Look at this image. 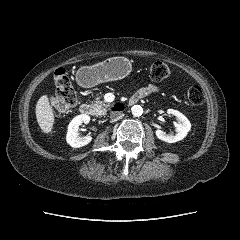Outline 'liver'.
I'll return each mask as SVG.
<instances>
[{"label": "liver", "mask_w": 240, "mask_h": 240, "mask_svg": "<svg viewBox=\"0 0 240 240\" xmlns=\"http://www.w3.org/2000/svg\"><path fill=\"white\" fill-rule=\"evenodd\" d=\"M36 119L44 133L49 134L52 131L55 117L47 95L41 96L37 101Z\"/></svg>", "instance_id": "1"}]
</instances>
